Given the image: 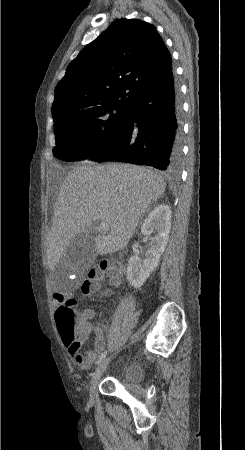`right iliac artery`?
<instances>
[{
	"mask_svg": "<svg viewBox=\"0 0 245 450\" xmlns=\"http://www.w3.org/2000/svg\"><path fill=\"white\" fill-rule=\"evenodd\" d=\"M106 355H107V351H104V352L100 355V357H99L98 361L96 362V364H99V363L106 357Z\"/></svg>",
	"mask_w": 245,
	"mask_h": 450,
	"instance_id": "82829eb1",
	"label": "right iliac artery"
}]
</instances>
